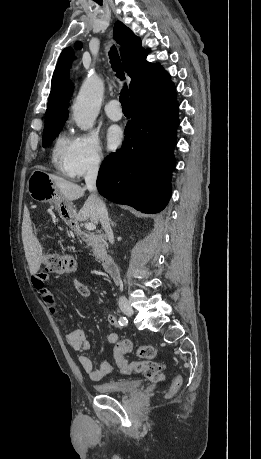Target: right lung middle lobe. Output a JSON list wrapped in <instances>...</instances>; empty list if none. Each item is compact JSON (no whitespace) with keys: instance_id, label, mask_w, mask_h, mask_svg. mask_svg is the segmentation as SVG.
<instances>
[{"instance_id":"obj_1","label":"right lung middle lobe","mask_w":261,"mask_h":459,"mask_svg":"<svg viewBox=\"0 0 261 459\" xmlns=\"http://www.w3.org/2000/svg\"><path fill=\"white\" fill-rule=\"evenodd\" d=\"M64 123L56 125H47L44 127L43 131V147H47L58 135L60 130L63 128Z\"/></svg>"}]
</instances>
